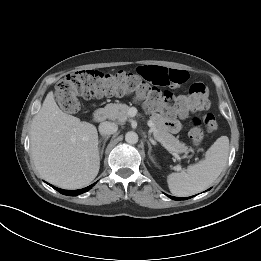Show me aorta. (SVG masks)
<instances>
[{"label":"aorta","instance_id":"obj_1","mask_svg":"<svg viewBox=\"0 0 261 261\" xmlns=\"http://www.w3.org/2000/svg\"><path fill=\"white\" fill-rule=\"evenodd\" d=\"M125 141L129 144H136L138 142V134L133 131H129L125 135Z\"/></svg>","mask_w":261,"mask_h":261}]
</instances>
